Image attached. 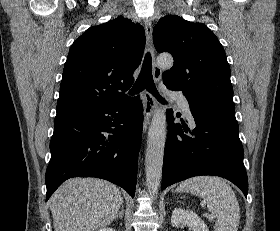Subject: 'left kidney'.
Here are the masks:
<instances>
[{"instance_id":"left-kidney-1","label":"left kidney","mask_w":280,"mask_h":231,"mask_svg":"<svg viewBox=\"0 0 280 231\" xmlns=\"http://www.w3.org/2000/svg\"><path fill=\"white\" fill-rule=\"evenodd\" d=\"M171 223L174 227H178L180 223H185V225L192 227L193 231H209L203 219H200L197 213L188 211V209H178V207H175L172 211Z\"/></svg>"}]
</instances>
